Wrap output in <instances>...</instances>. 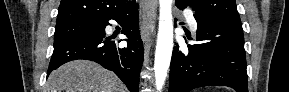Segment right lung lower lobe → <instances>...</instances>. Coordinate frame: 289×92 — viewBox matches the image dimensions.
I'll return each mask as SVG.
<instances>
[{"label":"right lung lower lobe","instance_id":"98d812e1","mask_svg":"<svg viewBox=\"0 0 289 92\" xmlns=\"http://www.w3.org/2000/svg\"><path fill=\"white\" fill-rule=\"evenodd\" d=\"M110 19L121 23L127 39V47H118L106 37L105 27ZM86 59L112 70L126 84L130 92H138L139 73L143 63V44L138 26V4L134 3L125 12L101 21L98 32L70 39L54 45L47 76L62 64Z\"/></svg>","mask_w":289,"mask_h":92}]
</instances>
